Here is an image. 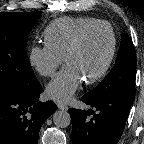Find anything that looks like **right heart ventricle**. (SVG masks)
Wrapping results in <instances>:
<instances>
[{"mask_svg": "<svg viewBox=\"0 0 144 144\" xmlns=\"http://www.w3.org/2000/svg\"><path fill=\"white\" fill-rule=\"evenodd\" d=\"M100 20L91 17H62L50 22L43 32L45 44L64 57L69 45L84 27Z\"/></svg>", "mask_w": 144, "mask_h": 144, "instance_id": "obj_1", "label": "right heart ventricle"}]
</instances>
